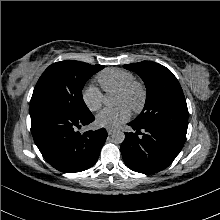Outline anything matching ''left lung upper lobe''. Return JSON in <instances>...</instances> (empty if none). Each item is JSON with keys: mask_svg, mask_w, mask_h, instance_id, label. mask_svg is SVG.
I'll return each mask as SVG.
<instances>
[{"mask_svg": "<svg viewBox=\"0 0 220 220\" xmlns=\"http://www.w3.org/2000/svg\"><path fill=\"white\" fill-rule=\"evenodd\" d=\"M136 72L146 86V102L140 115L133 120L139 126L160 125L187 133L188 109L182 88L165 66L143 61L124 65Z\"/></svg>", "mask_w": 220, "mask_h": 220, "instance_id": "5c2ea615", "label": "left lung upper lobe"}]
</instances>
